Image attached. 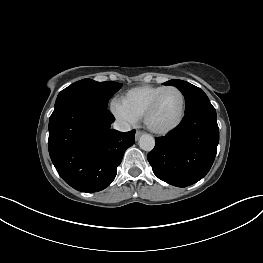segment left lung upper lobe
Returning <instances> with one entry per match:
<instances>
[{
  "label": "left lung upper lobe",
  "instance_id": "left-lung-upper-lobe-1",
  "mask_svg": "<svg viewBox=\"0 0 263 263\" xmlns=\"http://www.w3.org/2000/svg\"><path fill=\"white\" fill-rule=\"evenodd\" d=\"M164 84L173 85L182 92V94L185 97V101H186L185 112L191 110L192 108L196 106H199L205 103H210L207 95L200 88L186 81L173 79V80L165 82Z\"/></svg>",
  "mask_w": 263,
  "mask_h": 263
}]
</instances>
